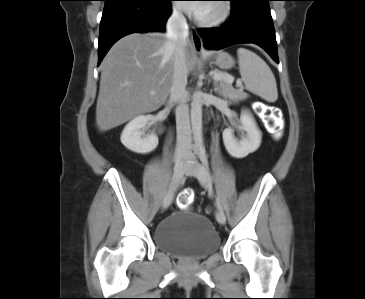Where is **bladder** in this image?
Returning a JSON list of instances; mask_svg holds the SVG:
<instances>
[{
	"label": "bladder",
	"instance_id": "31cf9c89",
	"mask_svg": "<svg viewBox=\"0 0 365 299\" xmlns=\"http://www.w3.org/2000/svg\"><path fill=\"white\" fill-rule=\"evenodd\" d=\"M153 241L160 250L185 259L203 258L220 246L219 235L208 218L182 209L156 225Z\"/></svg>",
	"mask_w": 365,
	"mask_h": 299
}]
</instances>
